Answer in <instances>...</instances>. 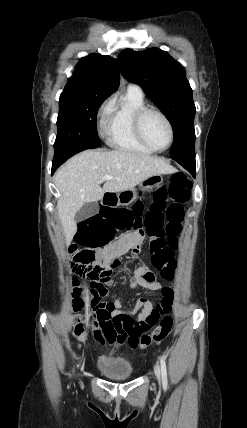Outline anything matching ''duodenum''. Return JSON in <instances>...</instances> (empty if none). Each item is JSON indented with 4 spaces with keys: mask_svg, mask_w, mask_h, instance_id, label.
Wrapping results in <instances>:
<instances>
[{
    "mask_svg": "<svg viewBox=\"0 0 247 428\" xmlns=\"http://www.w3.org/2000/svg\"><path fill=\"white\" fill-rule=\"evenodd\" d=\"M104 204H115L116 202V194L114 193H108L105 195L104 200H103Z\"/></svg>",
    "mask_w": 247,
    "mask_h": 428,
    "instance_id": "duodenum-1",
    "label": "duodenum"
}]
</instances>
